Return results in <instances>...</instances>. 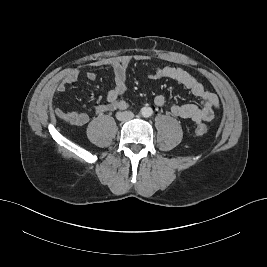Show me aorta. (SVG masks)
<instances>
[{"label":"aorta","mask_w":267,"mask_h":267,"mask_svg":"<svg viewBox=\"0 0 267 267\" xmlns=\"http://www.w3.org/2000/svg\"><path fill=\"white\" fill-rule=\"evenodd\" d=\"M153 113V110L151 107H143L141 109V114L144 116V117H150Z\"/></svg>","instance_id":"1"}]
</instances>
